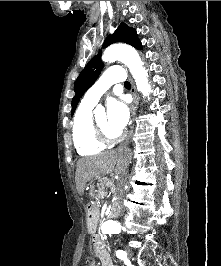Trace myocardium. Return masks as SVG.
Wrapping results in <instances>:
<instances>
[{
  "label": "myocardium",
  "instance_id": "obj_1",
  "mask_svg": "<svg viewBox=\"0 0 221 266\" xmlns=\"http://www.w3.org/2000/svg\"><path fill=\"white\" fill-rule=\"evenodd\" d=\"M93 126L98 140L104 144L116 143L120 141L123 136L121 131L113 135L107 133L103 128H101L96 120H93Z\"/></svg>",
  "mask_w": 221,
  "mask_h": 266
}]
</instances>
